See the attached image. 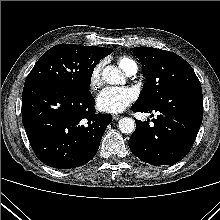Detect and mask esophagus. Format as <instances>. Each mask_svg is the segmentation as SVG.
<instances>
[{"mask_svg": "<svg viewBox=\"0 0 220 220\" xmlns=\"http://www.w3.org/2000/svg\"><path fill=\"white\" fill-rule=\"evenodd\" d=\"M112 118H113V120H119L121 118V116L117 115V114H113Z\"/></svg>", "mask_w": 220, "mask_h": 220, "instance_id": "1", "label": "esophagus"}]
</instances>
